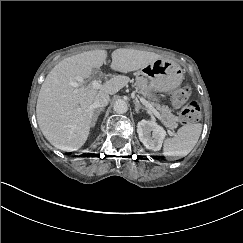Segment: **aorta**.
<instances>
[{"instance_id": "1", "label": "aorta", "mask_w": 243, "mask_h": 243, "mask_svg": "<svg viewBox=\"0 0 243 243\" xmlns=\"http://www.w3.org/2000/svg\"><path fill=\"white\" fill-rule=\"evenodd\" d=\"M113 109L118 114H124L128 110V105L124 100L119 99L114 102Z\"/></svg>"}]
</instances>
